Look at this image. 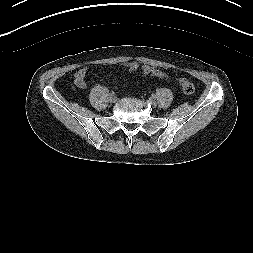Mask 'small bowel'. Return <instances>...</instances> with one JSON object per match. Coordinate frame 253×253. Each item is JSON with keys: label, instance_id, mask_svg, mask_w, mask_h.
I'll return each instance as SVG.
<instances>
[{"label": "small bowel", "instance_id": "small-bowel-1", "mask_svg": "<svg viewBox=\"0 0 253 253\" xmlns=\"http://www.w3.org/2000/svg\"><path fill=\"white\" fill-rule=\"evenodd\" d=\"M125 66L132 72L136 71L139 68V64L136 62H129L125 64ZM141 70L145 75L156 76L160 78H168V75L166 73L154 67L142 66ZM87 75H88L87 67H82L75 73V85L78 88L85 89L87 87V80H86Z\"/></svg>", "mask_w": 253, "mask_h": 253}]
</instances>
